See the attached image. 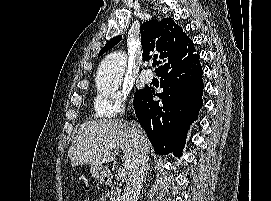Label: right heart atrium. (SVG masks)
Segmentation results:
<instances>
[{"label":"right heart atrium","instance_id":"right-heart-atrium-1","mask_svg":"<svg viewBox=\"0 0 271 201\" xmlns=\"http://www.w3.org/2000/svg\"><path fill=\"white\" fill-rule=\"evenodd\" d=\"M93 107L97 115L116 118L123 115L126 110V96L117 91L107 95H98Z\"/></svg>","mask_w":271,"mask_h":201}]
</instances>
